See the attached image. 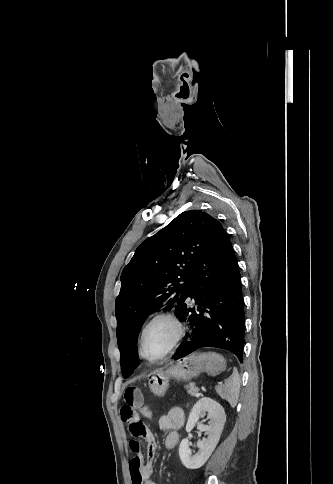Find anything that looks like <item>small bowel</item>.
Segmentation results:
<instances>
[{"instance_id": "obj_1", "label": "small bowel", "mask_w": 333, "mask_h": 484, "mask_svg": "<svg viewBox=\"0 0 333 484\" xmlns=\"http://www.w3.org/2000/svg\"><path fill=\"white\" fill-rule=\"evenodd\" d=\"M124 404L120 409L121 419L128 424L131 435L129 447L134 457L129 462L132 484H156L152 479L154 459L158 450V443L153 432L141 420V408L144 398L139 388L131 386L124 392ZM184 412L180 407L171 408L167 414L159 419V427L168 431L164 444L167 449L175 448L180 440L178 430L184 424ZM142 438L147 443V453L144 459L139 442Z\"/></svg>"}]
</instances>
